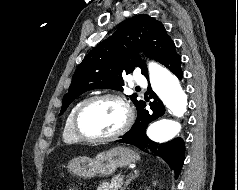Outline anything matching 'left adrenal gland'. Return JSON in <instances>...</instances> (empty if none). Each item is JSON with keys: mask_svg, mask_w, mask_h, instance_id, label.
<instances>
[{"mask_svg": "<svg viewBox=\"0 0 238 190\" xmlns=\"http://www.w3.org/2000/svg\"><path fill=\"white\" fill-rule=\"evenodd\" d=\"M139 175V171L138 170H134L133 173H131L130 175H128V179L126 180L124 187L122 188V190H126V188L128 187V185L131 183V181L133 179H135L136 177H138Z\"/></svg>", "mask_w": 238, "mask_h": 190, "instance_id": "1", "label": "left adrenal gland"}]
</instances>
